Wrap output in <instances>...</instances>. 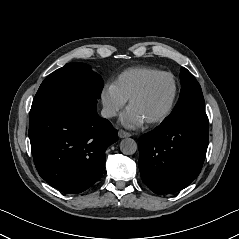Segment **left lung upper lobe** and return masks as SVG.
I'll return each mask as SVG.
<instances>
[{"label": "left lung upper lobe", "mask_w": 239, "mask_h": 239, "mask_svg": "<svg viewBox=\"0 0 239 239\" xmlns=\"http://www.w3.org/2000/svg\"><path fill=\"white\" fill-rule=\"evenodd\" d=\"M181 91L179 100L172 113L163 123L170 122L190 111H205L201 87L193 75L186 69H180Z\"/></svg>", "instance_id": "left-lung-upper-lobe-1"}]
</instances>
